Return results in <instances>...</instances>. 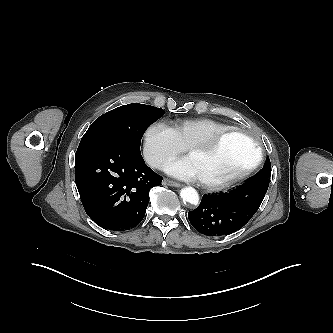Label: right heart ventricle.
Listing matches in <instances>:
<instances>
[{
    "label": "right heart ventricle",
    "mask_w": 333,
    "mask_h": 333,
    "mask_svg": "<svg viewBox=\"0 0 333 333\" xmlns=\"http://www.w3.org/2000/svg\"><path fill=\"white\" fill-rule=\"evenodd\" d=\"M171 128L180 143L188 147L195 141L211 137L231 126L210 118H193L175 121Z\"/></svg>",
    "instance_id": "right-heart-ventricle-1"
}]
</instances>
